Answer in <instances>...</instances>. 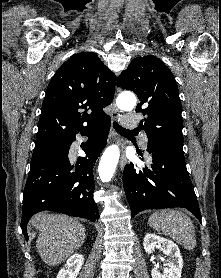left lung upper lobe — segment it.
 Here are the masks:
<instances>
[{
	"mask_svg": "<svg viewBox=\"0 0 221 278\" xmlns=\"http://www.w3.org/2000/svg\"><path fill=\"white\" fill-rule=\"evenodd\" d=\"M117 86L138 96L136 111L145 115L139 126L147 134L148 147L158 143L183 145L179 91L162 61L154 56L133 59L118 77Z\"/></svg>",
	"mask_w": 221,
	"mask_h": 278,
	"instance_id": "obj_1",
	"label": "left lung upper lobe"
}]
</instances>
